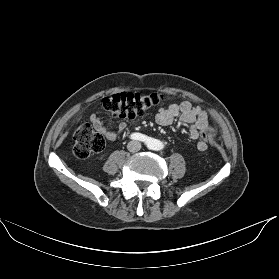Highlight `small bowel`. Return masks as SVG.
Returning a JSON list of instances; mask_svg holds the SVG:
<instances>
[{
    "label": "small bowel",
    "instance_id": "c3829d8e",
    "mask_svg": "<svg viewBox=\"0 0 279 279\" xmlns=\"http://www.w3.org/2000/svg\"><path fill=\"white\" fill-rule=\"evenodd\" d=\"M176 118L178 123L190 127V135L194 140H198L199 151L207 149V142L203 139V134L209 128L207 112L199 106H193L189 101L173 103L167 108H160L156 115V122L161 126L170 125ZM94 127L108 140H114L126 130V123L120 122L116 129H107L103 120L96 113L91 115Z\"/></svg>",
    "mask_w": 279,
    "mask_h": 279
}]
</instances>
